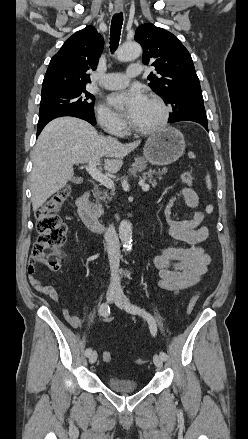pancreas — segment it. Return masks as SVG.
I'll return each instance as SVG.
<instances>
[{
  "label": "pancreas",
  "instance_id": "obj_1",
  "mask_svg": "<svg viewBox=\"0 0 248 439\" xmlns=\"http://www.w3.org/2000/svg\"><path fill=\"white\" fill-rule=\"evenodd\" d=\"M165 172H166L165 170H163L162 172L161 171L156 172L155 170H149L148 172H146L142 175V181H145L148 179L149 183H151L153 186H155L157 184V180L155 179L154 175L160 178L162 173H165ZM94 197L96 199V204L98 206H101V201L106 199V195L101 196L100 192L98 190L95 191Z\"/></svg>",
  "mask_w": 248,
  "mask_h": 439
}]
</instances>
